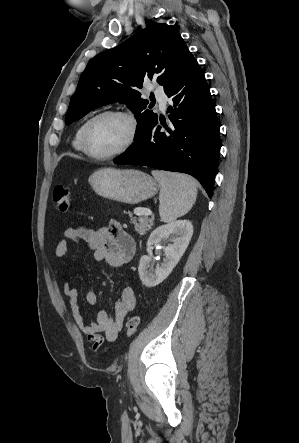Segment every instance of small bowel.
<instances>
[{
    "label": "small bowel",
    "mask_w": 299,
    "mask_h": 443,
    "mask_svg": "<svg viewBox=\"0 0 299 443\" xmlns=\"http://www.w3.org/2000/svg\"><path fill=\"white\" fill-rule=\"evenodd\" d=\"M69 242H84L92 251L95 261L105 262L113 268L126 265L136 252L134 239L116 221L110 222L108 227L99 230L85 227L67 228L64 231V239L56 246L55 255L58 260H61L68 252ZM62 289L68 298L76 325L87 335V340L92 344L95 352L101 351L105 342L116 340L126 315L136 305L135 292L132 287L127 286L123 288L115 301L113 316L105 310H100L96 314L95 322L87 323L81 313L76 288L70 282H64ZM85 300L92 306L98 301L93 291L86 293Z\"/></svg>",
    "instance_id": "1"
}]
</instances>
